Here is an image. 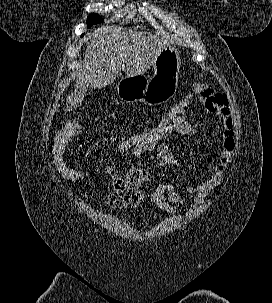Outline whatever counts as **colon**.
Here are the masks:
<instances>
[{
	"label": "colon",
	"mask_w": 272,
	"mask_h": 303,
	"mask_svg": "<svg viewBox=\"0 0 272 303\" xmlns=\"http://www.w3.org/2000/svg\"><path fill=\"white\" fill-rule=\"evenodd\" d=\"M198 88H202V84L195 83L192 91L197 92ZM191 99L192 93L184 95L173 103L155 124L122 137L115 145L116 152L154 148L163 145L171 136L188 129L191 126L187 117ZM82 130L83 126L79 121H72L57 133L53 143V163L58 174L73 182L82 181L89 175L87 168L71 166L65 160L66 145ZM111 170L108 168V171ZM143 198L144 196L140 192H113L108 196V203L112 207L130 208L140 204Z\"/></svg>",
	"instance_id": "1"
}]
</instances>
